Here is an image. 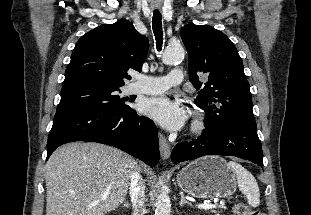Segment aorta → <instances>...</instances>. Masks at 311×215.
Wrapping results in <instances>:
<instances>
[{
  "label": "aorta",
  "instance_id": "aorta-1",
  "mask_svg": "<svg viewBox=\"0 0 311 215\" xmlns=\"http://www.w3.org/2000/svg\"><path fill=\"white\" fill-rule=\"evenodd\" d=\"M185 51L181 45L170 46L163 52V63L170 65L176 62H180L184 59ZM171 204L170 198L166 191L163 189L157 197L155 215H170Z\"/></svg>",
  "mask_w": 311,
  "mask_h": 215
}]
</instances>
